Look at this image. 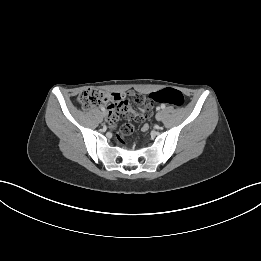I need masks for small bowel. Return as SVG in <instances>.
I'll list each match as a JSON object with an SVG mask.
<instances>
[{
    "instance_id": "1",
    "label": "small bowel",
    "mask_w": 261,
    "mask_h": 261,
    "mask_svg": "<svg viewBox=\"0 0 261 261\" xmlns=\"http://www.w3.org/2000/svg\"><path fill=\"white\" fill-rule=\"evenodd\" d=\"M128 97H130L131 101H134L138 104H145L146 109L141 110L139 112H133L130 109V106L128 105V111L126 112L128 115H130L131 117L138 119V120H142L148 117L149 112H150V108H151V104L154 103V98L153 97H147V96H142V94L135 92V90L130 89L127 92ZM123 97V96H122ZM147 125H145L143 127V129H147Z\"/></svg>"
}]
</instances>
